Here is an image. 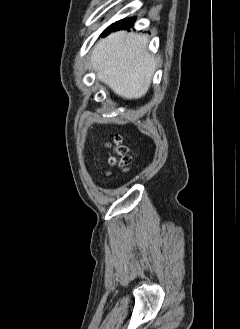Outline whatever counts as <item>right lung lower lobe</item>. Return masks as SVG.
<instances>
[{
  "mask_svg": "<svg viewBox=\"0 0 240 329\" xmlns=\"http://www.w3.org/2000/svg\"><path fill=\"white\" fill-rule=\"evenodd\" d=\"M134 22H135V18H128V19H123V20L117 21L116 23H114L110 27H108L102 33V36H106L112 31L129 29L130 27L133 26Z\"/></svg>",
  "mask_w": 240,
  "mask_h": 329,
  "instance_id": "obj_1",
  "label": "right lung lower lobe"
}]
</instances>
